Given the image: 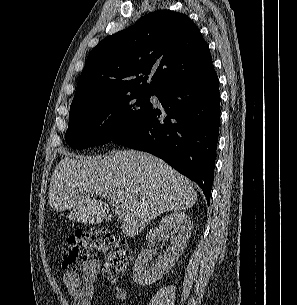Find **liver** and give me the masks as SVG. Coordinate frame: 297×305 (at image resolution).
<instances>
[{
  "instance_id": "obj_1",
  "label": "liver",
  "mask_w": 297,
  "mask_h": 305,
  "mask_svg": "<svg viewBox=\"0 0 297 305\" xmlns=\"http://www.w3.org/2000/svg\"><path fill=\"white\" fill-rule=\"evenodd\" d=\"M104 194L112 201L93 198ZM196 201L187 178L161 159L135 150L76 159L66 154L54 169L48 192L53 211L70 209L67 217L84 224H100L111 204H122L127 236L138 235L162 213L186 210Z\"/></svg>"
}]
</instances>
